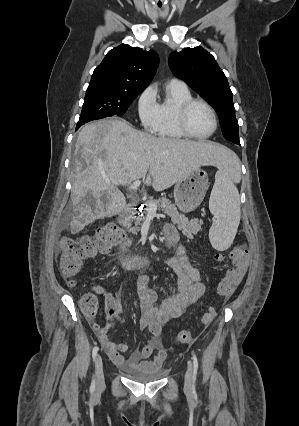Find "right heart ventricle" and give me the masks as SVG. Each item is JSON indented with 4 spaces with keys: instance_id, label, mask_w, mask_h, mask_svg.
<instances>
[{
    "instance_id": "obj_1",
    "label": "right heart ventricle",
    "mask_w": 299,
    "mask_h": 426,
    "mask_svg": "<svg viewBox=\"0 0 299 426\" xmlns=\"http://www.w3.org/2000/svg\"><path fill=\"white\" fill-rule=\"evenodd\" d=\"M192 98V94L185 84L169 82L165 88V95L158 103V123L155 133L166 139H182L177 123V113L180 106Z\"/></svg>"
}]
</instances>
